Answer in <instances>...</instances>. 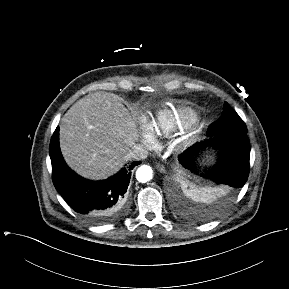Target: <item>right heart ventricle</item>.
Returning a JSON list of instances; mask_svg holds the SVG:
<instances>
[{
  "mask_svg": "<svg viewBox=\"0 0 289 289\" xmlns=\"http://www.w3.org/2000/svg\"><path fill=\"white\" fill-rule=\"evenodd\" d=\"M195 121L196 115L189 109H165L156 113L150 123V129L155 137L168 138L190 127Z\"/></svg>",
  "mask_w": 289,
  "mask_h": 289,
  "instance_id": "1",
  "label": "right heart ventricle"
}]
</instances>
